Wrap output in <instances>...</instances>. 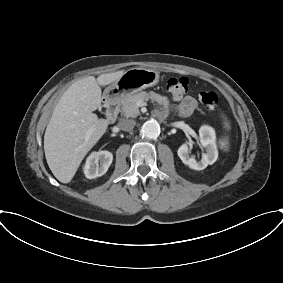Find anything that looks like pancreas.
Instances as JSON below:
<instances>
[{
    "instance_id": "pancreas-1",
    "label": "pancreas",
    "mask_w": 283,
    "mask_h": 283,
    "mask_svg": "<svg viewBox=\"0 0 283 283\" xmlns=\"http://www.w3.org/2000/svg\"><path fill=\"white\" fill-rule=\"evenodd\" d=\"M151 99L152 101L158 102V103H165L167 104L168 98L165 96H161L153 91L145 92L142 91L140 93H133V94H127L124 96L121 100V110L122 114L126 117H137L140 115L139 107L137 105L138 101H145Z\"/></svg>"
}]
</instances>
